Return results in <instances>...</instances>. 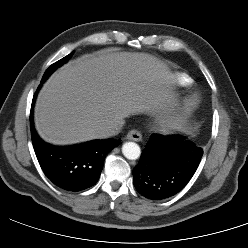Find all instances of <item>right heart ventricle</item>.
<instances>
[{
    "label": "right heart ventricle",
    "instance_id": "obj_1",
    "mask_svg": "<svg viewBox=\"0 0 248 248\" xmlns=\"http://www.w3.org/2000/svg\"><path fill=\"white\" fill-rule=\"evenodd\" d=\"M176 83L182 87H187L190 85L191 80L184 74H180L175 79Z\"/></svg>",
    "mask_w": 248,
    "mask_h": 248
}]
</instances>
